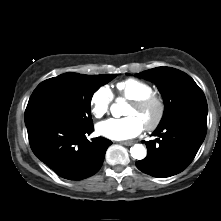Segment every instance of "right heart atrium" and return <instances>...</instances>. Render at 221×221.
<instances>
[{
	"label": "right heart atrium",
	"mask_w": 221,
	"mask_h": 221,
	"mask_svg": "<svg viewBox=\"0 0 221 221\" xmlns=\"http://www.w3.org/2000/svg\"><path fill=\"white\" fill-rule=\"evenodd\" d=\"M113 93L109 86L103 85L94 91L90 100L91 113L96 118L104 116L112 103Z\"/></svg>",
	"instance_id": "d8ad5b80"
}]
</instances>
